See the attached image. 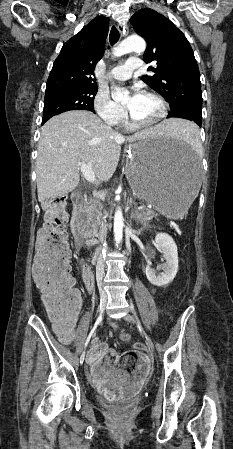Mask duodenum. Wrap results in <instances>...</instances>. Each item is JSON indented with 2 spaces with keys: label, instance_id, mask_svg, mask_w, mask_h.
Listing matches in <instances>:
<instances>
[{
  "label": "duodenum",
  "instance_id": "obj_1",
  "mask_svg": "<svg viewBox=\"0 0 233 449\" xmlns=\"http://www.w3.org/2000/svg\"><path fill=\"white\" fill-rule=\"evenodd\" d=\"M73 213H72V227L75 233H80L84 229V217L82 213V206L85 202V196L81 193L75 194L72 197ZM102 258L101 251H96L92 255V261L97 263ZM82 272H93L87 265L83 266Z\"/></svg>",
  "mask_w": 233,
  "mask_h": 449
}]
</instances>
